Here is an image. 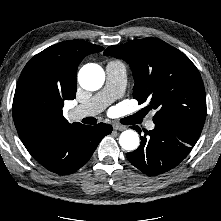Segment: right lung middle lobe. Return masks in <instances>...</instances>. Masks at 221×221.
Returning a JSON list of instances; mask_svg holds the SVG:
<instances>
[{
    "instance_id": "right-lung-middle-lobe-1",
    "label": "right lung middle lobe",
    "mask_w": 221,
    "mask_h": 221,
    "mask_svg": "<svg viewBox=\"0 0 221 221\" xmlns=\"http://www.w3.org/2000/svg\"><path fill=\"white\" fill-rule=\"evenodd\" d=\"M30 101H31V104L35 107H40L42 105V100L37 95L30 96Z\"/></svg>"
}]
</instances>
